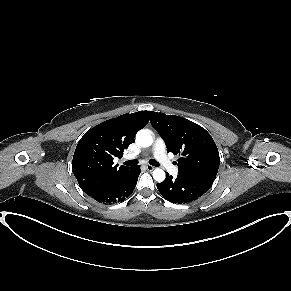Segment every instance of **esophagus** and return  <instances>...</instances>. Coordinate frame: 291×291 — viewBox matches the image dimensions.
Wrapping results in <instances>:
<instances>
[{"label": "esophagus", "mask_w": 291, "mask_h": 291, "mask_svg": "<svg viewBox=\"0 0 291 291\" xmlns=\"http://www.w3.org/2000/svg\"><path fill=\"white\" fill-rule=\"evenodd\" d=\"M145 168H146V170H148V171H152V170H154V166H152V165H145Z\"/></svg>", "instance_id": "obj_1"}]
</instances>
